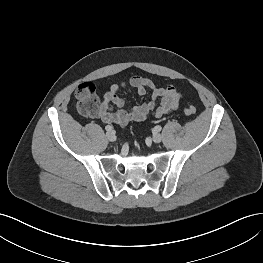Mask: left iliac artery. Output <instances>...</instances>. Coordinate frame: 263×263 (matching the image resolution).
Wrapping results in <instances>:
<instances>
[{"instance_id":"44dca946","label":"left iliac artery","mask_w":263,"mask_h":263,"mask_svg":"<svg viewBox=\"0 0 263 263\" xmlns=\"http://www.w3.org/2000/svg\"><path fill=\"white\" fill-rule=\"evenodd\" d=\"M161 129H162V127H161L160 125L155 126V130H156L157 132L161 131Z\"/></svg>"}]
</instances>
